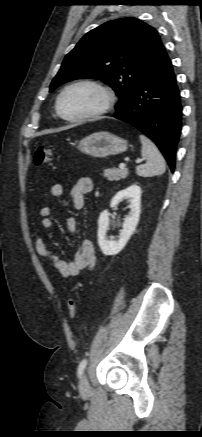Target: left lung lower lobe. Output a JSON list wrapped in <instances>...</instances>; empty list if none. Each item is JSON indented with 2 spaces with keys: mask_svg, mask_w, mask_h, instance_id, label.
Instances as JSON below:
<instances>
[{
  "mask_svg": "<svg viewBox=\"0 0 202 437\" xmlns=\"http://www.w3.org/2000/svg\"><path fill=\"white\" fill-rule=\"evenodd\" d=\"M113 117L125 121L154 141L172 172L182 127V106L171 60L168 56L119 106Z\"/></svg>",
  "mask_w": 202,
  "mask_h": 437,
  "instance_id": "1",
  "label": "left lung lower lobe"
}]
</instances>
